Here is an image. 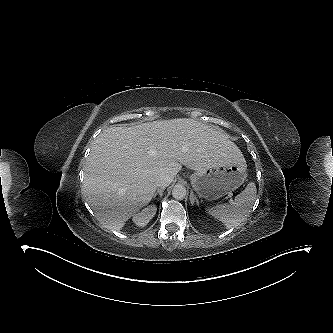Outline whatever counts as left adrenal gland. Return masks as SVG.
Instances as JSON below:
<instances>
[{
	"mask_svg": "<svg viewBox=\"0 0 333 333\" xmlns=\"http://www.w3.org/2000/svg\"><path fill=\"white\" fill-rule=\"evenodd\" d=\"M190 202H191V205L193 206L195 203L197 206H199V201L198 199L196 198V196L193 194V192H191L190 194Z\"/></svg>",
	"mask_w": 333,
	"mask_h": 333,
	"instance_id": "obj_1",
	"label": "left adrenal gland"
}]
</instances>
